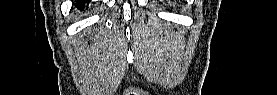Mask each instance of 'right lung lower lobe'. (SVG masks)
Wrapping results in <instances>:
<instances>
[{
	"instance_id": "98d812e1",
	"label": "right lung lower lobe",
	"mask_w": 277,
	"mask_h": 95,
	"mask_svg": "<svg viewBox=\"0 0 277 95\" xmlns=\"http://www.w3.org/2000/svg\"><path fill=\"white\" fill-rule=\"evenodd\" d=\"M85 3H89V0H78L76 3V6L79 7L80 9H84L85 8Z\"/></svg>"
}]
</instances>
